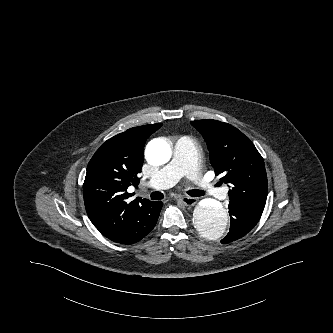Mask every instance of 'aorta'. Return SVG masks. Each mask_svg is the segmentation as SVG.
<instances>
[{
  "label": "aorta",
  "instance_id": "aorta-1",
  "mask_svg": "<svg viewBox=\"0 0 333 333\" xmlns=\"http://www.w3.org/2000/svg\"><path fill=\"white\" fill-rule=\"evenodd\" d=\"M172 155L170 145L161 139L152 140L146 147V159L153 166L169 162ZM195 228L208 239H219L229 230L227 210L220 203H200L194 210Z\"/></svg>",
  "mask_w": 333,
  "mask_h": 333
}]
</instances>
